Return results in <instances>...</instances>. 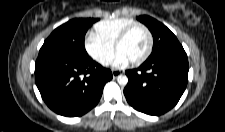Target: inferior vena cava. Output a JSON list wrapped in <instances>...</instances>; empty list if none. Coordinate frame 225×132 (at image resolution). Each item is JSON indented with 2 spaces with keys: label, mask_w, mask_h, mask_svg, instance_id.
<instances>
[{
  "label": "inferior vena cava",
  "mask_w": 225,
  "mask_h": 132,
  "mask_svg": "<svg viewBox=\"0 0 225 132\" xmlns=\"http://www.w3.org/2000/svg\"><path fill=\"white\" fill-rule=\"evenodd\" d=\"M109 63H110V60H105V61L103 62L104 65H108Z\"/></svg>",
  "instance_id": "602c4592"
}]
</instances>
